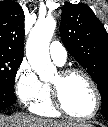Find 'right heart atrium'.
<instances>
[{
    "label": "right heart atrium",
    "instance_id": "obj_1",
    "mask_svg": "<svg viewBox=\"0 0 108 127\" xmlns=\"http://www.w3.org/2000/svg\"><path fill=\"white\" fill-rule=\"evenodd\" d=\"M14 88L18 99L24 105H32L42 93V82L27 61L21 62L15 77Z\"/></svg>",
    "mask_w": 108,
    "mask_h": 127
}]
</instances>
